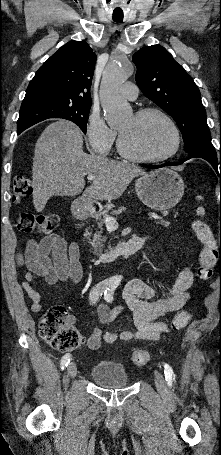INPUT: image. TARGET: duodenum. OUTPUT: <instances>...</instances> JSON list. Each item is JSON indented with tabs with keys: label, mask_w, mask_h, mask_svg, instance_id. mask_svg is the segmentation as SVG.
<instances>
[{
	"label": "duodenum",
	"mask_w": 221,
	"mask_h": 455,
	"mask_svg": "<svg viewBox=\"0 0 221 455\" xmlns=\"http://www.w3.org/2000/svg\"><path fill=\"white\" fill-rule=\"evenodd\" d=\"M99 212L100 208L97 205L90 204L87 201H81L75 207V215L81 219L95 218ZM82 240L84 241V237H82ZM144 244L145 241L141 237H133L126 242H121L110 249L97 253L95 257L102 262H111L119 256L135 254Z\"/></svg>",
	"instance_id": "duodenum-1"
}]
</instances>
